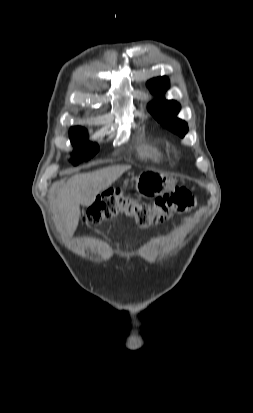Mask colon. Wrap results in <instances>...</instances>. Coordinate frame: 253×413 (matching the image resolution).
I'll return each instance as SVG.
<instances>
[{
	"label": "colon",
	"mask_w": 253,
	"mask_h": 413,
	"mask_svg": "<svg viewBox=\"0 0 253 413\" xmlns=\"http://www.w3.org/2000/svg\"><path fill=\"white\" fill-rule=\"evenodd\" d=\"M194 204V197L184 187L157 197L153 203L142 202L114 190L100 195L87 209L84 219L89 223H98L118 214H125L133 218L139 226L149 227L176 213L190 211Z\"/></svg>",
	"instance_id": "obj_1"
}]
</instances>
